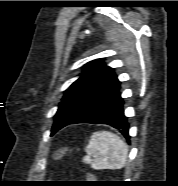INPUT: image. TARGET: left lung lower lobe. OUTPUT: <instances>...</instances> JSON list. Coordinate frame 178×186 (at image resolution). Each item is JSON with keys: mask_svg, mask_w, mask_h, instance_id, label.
Returning a JSON list of instances; mask_svg holds the SVG:
<instances>
[{"mask_svg": "<svg viewBox=\"0 0 178 186\" xmlns=\"http://www.w3.org/2000/svg\"><path fill=\"white\" fill-rule=\"evenodd\" d=\"M123 105L124 100L121 97V93L118 91L82 112L69 124L92 123L110 125L118 129L129 141V124L127 122V117L124 115Z\"/></svg>", "mask_w": 178, "mask_h": 186, "instance_id": "0a47b994", "label": "left lung lower lobe"}]
</instances>
